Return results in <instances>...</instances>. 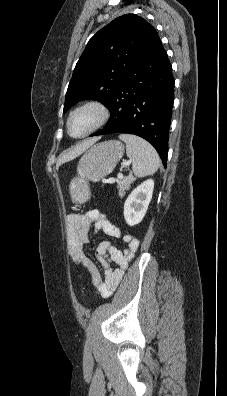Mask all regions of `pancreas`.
Here are the masks:
<instances>
[{
  "label": "pancreas",
  "mask_w": 227,
  "mask_h": 396,
  "mask_svg": "<svg viewBox=\"0 0 227 396\" xmlns=\"http://www.w3.org/2000/svg\"><path fill=\"white\" fill-rule=\"evenodd\" d=\"M133 180L134 178L132 176H128L126 178H122L117 181L118 194L120 197H122L125 194L126 190L130 189Z\"/></svg>",
  "instance_id": "pancreas-1"
}]
</instances>
